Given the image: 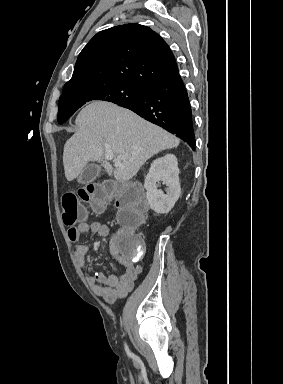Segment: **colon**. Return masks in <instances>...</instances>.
Here are the masks:
<instances>
[{
  "label": "colon",
  "instance_id": "colon-1",
  "mask_svg": "<svg viewBox=\"0 0 283 384\" xmlns=\"http://www.w3.org/2000/svg\"><path fill=\"white\" fill-rule=\"evenodd\" d=\"M79 198L88 203L95 212H102L111 202H115L120 228L113 239L119 253L130 261H138L144 256V242L135 232L141 225L146 211V203L138 185L92 183L79 189L78 194L65 193L62 197V217L67 226L73 227L87 216Z\"/></svg>",
  "mask_w": 283,
  "mask_h": 384
}]
</instances>
